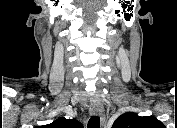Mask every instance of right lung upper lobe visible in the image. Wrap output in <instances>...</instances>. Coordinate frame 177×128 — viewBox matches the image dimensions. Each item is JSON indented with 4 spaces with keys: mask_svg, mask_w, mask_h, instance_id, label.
I'll use <instances>...</instances> for the list:
<instances>
[{
    "mask_svg": "<svg viewBox=\"0 0 177 128\" xmlns=\"http://www.w3.org/2000/svg\"><path fill=\"white\" fill-rule=\"evenodd\" d=\"M49 127L51 128H81L82 124L75 119H66L61 117L52 122Z\"/></svg>",
    "mask_w": 177,
    "mask_h": 128,
    "instance_id": "obj_1",
    "label": "right lung upper lobe"
}]
</instances>
